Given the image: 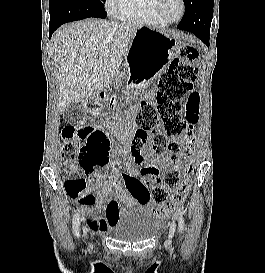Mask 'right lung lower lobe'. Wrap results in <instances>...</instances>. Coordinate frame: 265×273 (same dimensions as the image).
Returning <instances> with one entry per match:
<instances>
[{
    "label": "right lung lower lobe",
    "mask_w": 265,
    "mask_h": 273,
    "mask_svg": "<svg viewBox=\"0 0 265 273\" xmlns=\"http://www.w3.org/2000/svg\"><path fill=\"white\" fill-rule=\"evenodd\" d=\"M57 28H58V27H55V26H49V30H50L49 37H51L52 33H53Z\"/></svg>",
    "instance_id": "obj_1"
}]
</instances>
